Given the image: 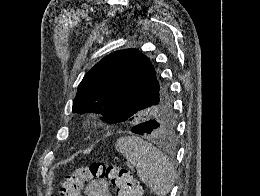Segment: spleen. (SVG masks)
<instances>
[{
    "instance_id": "1",
    "label": "spleen",
    "mask_w": 260,
    "mask_h": 196,
    "mask_svg": "<svg viewBox=\"0 0 260 196\" xmlns=\"http://www.w3.org/2000/svg\"><path fill=\"white\" fill-rule=\"evenodd\" d=\"M115 150L135 166L140 182L146 184L157 196L169 194L175 180V170L166 156L153 144L138 136H121Z\"/></svg>"
}]
</instances>
